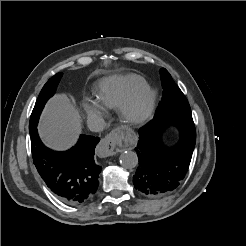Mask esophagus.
<instances>
[{"label": "esophagus", "instance_id": "1", "mask_svg": "<svg viewBox=\"0 0 246 246\" xmlns=\"http://www.w3.org/2000/svg\"><path fill=\"white\" fill-rule=\"evenodd\" d=\"M119 134H120V130L115 129L100 141L97 147V153L100 157L113 156L118 152L116 143Z\"/></svg>", "mask_w": 246, "mask_h": 246}]
</instances>
